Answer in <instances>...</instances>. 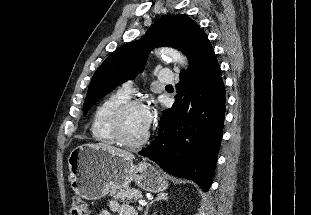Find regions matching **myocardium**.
<instances>
[{
    "instance_id": "obj_1",
    "label": "myocardium",
    "mask_w": 311,
    "mask_h": 215,
    "mask_svg": "<svg viewBox=\"0 0 311 215\" xmlns=\"http://www.w3.org/2000/svg\"><path fill=\"white\" fill-rule=\"evenodd\" d=\"M135 107L146 108L145 104L138 99H128L121 103L112 113L111 128L118 143L130 148L140 147L149 139V132L139 140H130L125 132V116L129 110Z\"/></svg>"
}]
</instances>
